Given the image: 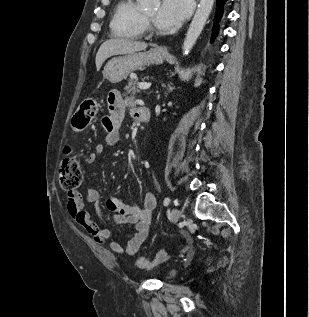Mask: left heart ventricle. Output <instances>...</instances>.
<instances>
[{
    "label": "left heart ventricle",
    "mask_w": 309,
    "mask_h": 317,
    "mask_svg": "<svg viewBox=\"0 0 309 317\" xmlns=\"http://www.w3.org/2000/svg\"><path fill=\"white\" fill-rule=\"evenodd\" d=\"M157 13H158V9L156 8V9L150 11V12H147L146 15H147L151 20L155 21V17H156V15H157Z\"/></svg>",
    "instance_id": "b2bd125f"
}]
</instances>
